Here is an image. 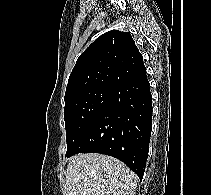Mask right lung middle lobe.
<instances>
[{"label": "right lung middle lobe", "mask_w": 211, "mask_h": 195, "mask_svg": "<svg viewBox=\"0 0 211 195\" xmlns=\"http://www.w3.org/2000/svg\"><path fill=\"white\" fill-rule=\"evenodd\" d=\"M110 89L95 88L73 94L65 99L67 152L79 141L105 107Z\"/></svg>", "instance_id": "1"}]
</instances>
